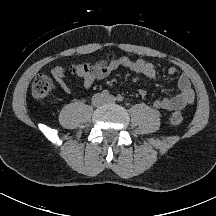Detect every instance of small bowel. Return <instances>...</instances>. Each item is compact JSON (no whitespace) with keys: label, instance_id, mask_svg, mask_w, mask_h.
I'll return each instance as SVG.
<instances>
[{"label":"small bowel","instance_id":"1","mask_svg":"<svg viewBox=\"0 0 216 216\" xmlns=\"http://www.w3.org/2000/svg\"><path fill=\"white\" fill-rule=\"evenodd\" d=\"M118 67L128 68L140 75L149 79L157 77V70L153 63L144 59L138 58L132 60L127 56H117L109 54L106 58L97 61L92 69H80L79 66H74L73 69L77 76L81 79L84 88L92 87L97 81L102 80L110 75L112 71ZM177 72L175 66H171L167 70L169 76H174ZM51 74L60 88L69 95L75 94L76 90L69 84L65 78V70L61 65H57L51 69ZM179 91L170 97L160 98L154 101L153 106L158 110L172 111L183 109L193 104L195 94L191 86L189 77L186 74L180 75L177 80ZM140 96L145 97L147 91L139 89Z\"/></svg>","mask_w":216,"mask_h":216}]
</instances>
